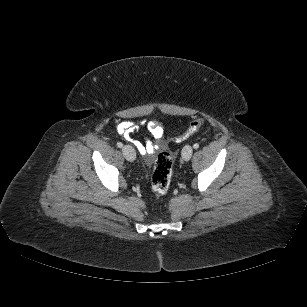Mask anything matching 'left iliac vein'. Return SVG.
Returning a JSON list of instances; mask_svg holds the SVG:
<instances>
[{"instance_id": "obj_1", "label": "left iliac vein", "mask_w": 307, "mask_h": 307, "mask_svg": "<svg viewBox=\"0 0 307 307\" xmlns=\"http://www.w3.org/2000/svg\"><path fill=\"white\" fill-rule=\"evenodd\" d=\"M193 154V148L191 145L184 146L182 150V158L185 161H189Z\"/></svg>"}]
</instances>
